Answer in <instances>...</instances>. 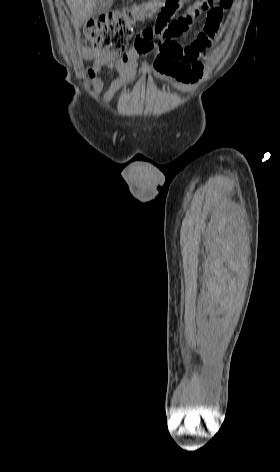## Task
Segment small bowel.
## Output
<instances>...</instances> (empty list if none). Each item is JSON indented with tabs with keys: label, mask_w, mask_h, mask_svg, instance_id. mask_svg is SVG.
Segmentation results:
<instances>
[{
	"label": "small bowel",
	"mask_w": 280,
	"mask_h": 472,
	"mask_svg": "<svg viewBox=\"0 0 280 472\" xmlns=\"http://www.w3.org/2000/svg\"><path fill=\"white\" fill-rule=\"evenodd\" d=\"M189 1L191 0H184V2ZM202 5L203 1L194 2L183 16L163 23L156 22L154 27L143 29L136 36L134 46L119 59L109 56L102 50L83 47L82 56L92 62L88 75L97 93L103 90L104 83L99 76L103 69L118 73V77L104 92L103 102L109 103L118 90L135 81L140 57L154 50L156 54L152 71L155 76L167 80L179 90L194 88L203 75L200 57L211 46L220 22L216 24L206 22L203 31L190 46L182 47L177 38L187 32L195 20L205 12L206 8Z\"/></svg>",
	"instance_id": "c3829d8e"
}]
</instances>
